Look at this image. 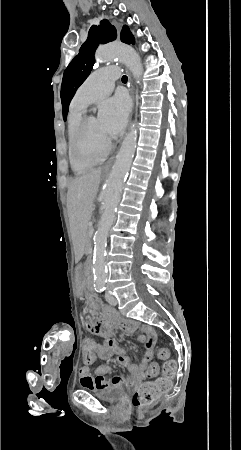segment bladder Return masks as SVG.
<instances>
[{
	"label": "bladder",
	"mask_w": 241,
	"mask_h": 450,
	"mask_svg": "<svg viewBox=\"0 0 241 450\" xmlns=\"http://www.w3.org/2000/svg\"><path fill=\"white\" fill-rule=\"evenodd\" d=\"M95 394L102 400L116 402L124 398L125 391L122 387L119 386H109L98 390Z\"/></svg>",
	"instance_id": "31cf9c89"
}]
</instances>
